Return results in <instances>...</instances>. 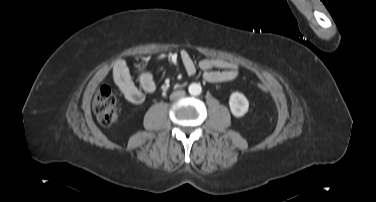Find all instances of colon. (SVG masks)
<instances>
[{
    "mask_svg": "<svg viewBox=\"0 0 376 202\" xmlns=\"http://www.w3.org/2000/svg\"><path fill=\"white\" fill-rule=\"evenodd\" d=\"M261 92H266V83L260 81L257 84ZM94 113L98 121L108 127L114 126L119 120L116 97L109 86H101L96 92L92 102Z\"/></svg>",
    "mask_w": 376,
    "mask_h": 202,
    "instance_id": "1",
    "label": "colon"
}]
</instances>
